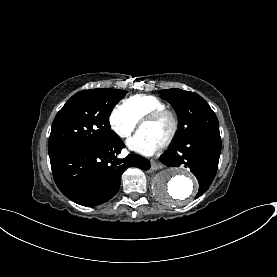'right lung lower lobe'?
<instances>
[{
	"label": "right lung lower lobe",
	"mask_w": 277,
	"mask_h": 277,
	"mask_svg": "<svg viewBox=\"0 0 277 277\" xmlns=\"http://www.w3.org/2000/svg\"><path fill=\"white\" fill-rule=\"evenodd\" d=\"M123 147L118 137L100 145L72 147L49 155L56 185L66 197L83 206L108 201L118 192L128 167L150 168L149 161L136 154L118 159Z\"/></svg>",
	"instance_id": "1"
}]
</instances>
